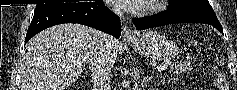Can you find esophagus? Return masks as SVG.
<instances>
[{
	"label": "esophagus",
	"instance_id": "34e87169",
	"mask_svg": "<svg viewBox=\"0 0 237 90\" xmlns=\"http://www.w3.org/2000/svg\"><path fill=\"white\" fill-rule=\"evenodd\" d=\"M135 38H136L135 33L125 25L122 31V40L124 42H129L134 40Z\"/></svg>",
	"mask_w": 237,
	"mask_h": 90
}]
</instances>
